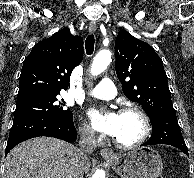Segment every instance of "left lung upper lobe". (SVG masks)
I'll return each instance as SVG.
<instances>
[{
    "label": "left lung upper lobe",
    "instance_id": "5c2ea615",
    "mask_svg": "<svg viewBox=\"0 0 194 178\" xmlns=\"http://www.w3.org/2000/svg\"><path fill=\"white\" fill-rule=\"evenodd\" d=\"M116 74L125 96L139 103L149 117L175 112L163 62L155 50L125 30L115 42Z\"/></svg>",
    "mask_w": 194,
    "mask_h": 178
}]
</instances>
